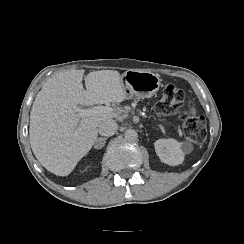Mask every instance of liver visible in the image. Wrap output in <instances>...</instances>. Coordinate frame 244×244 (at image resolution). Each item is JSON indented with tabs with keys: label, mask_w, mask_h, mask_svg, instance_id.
<instances>
[{
	"label": "liver",
	"mask_w": 244,
	"mask_h": 244,
	"mask_svg": "<svg viewBox=\"0 0 244 244\" xmlns=\"http://www.w3.org/2000/svg\"><path fill=\"white\" fill-rule=\"evenodd\" d=\"M84 70L54 74L35 97L29 124V139L37 160L49 172L67 176L93 147L99 124L118 117L116 112L80 117L79 106L122 103L128 94L117 70ZM122 113V110L119 111Z\"/></svg>",
	"instance_id": "1"
}]
</instances>
